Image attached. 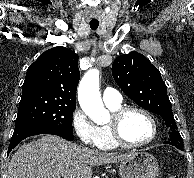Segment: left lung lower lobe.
Wrapping results in <instances>:
<instances>
[{
  "instance_id": "0a47b994",
  "label": "left lung lower lobe",
  "mask_w": 194,
  "mask_h": 178,
  "mask_svg": "<svg viewBox=\"0 0 194 178\" xmlns=\"http://www.w3.org/2000/svg\"><path fill=\"white\" fill-rule=\"evenodd\" d=\"M169 134H170L169 140L165 141L164 143L173 145L176 148L183 151V147H184L183 140H182V137L180 136L179 132L177 130L171 129V132Z\"/></svg>"
}]
</instances>
